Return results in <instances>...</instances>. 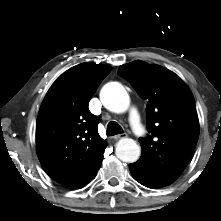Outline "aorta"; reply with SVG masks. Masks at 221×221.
<instances>
[{"mask_svg":"<svg viewBox=\"0 0 221 221\" xmlns=\"http://www.w3.org/2000/svg\"><path fill=\"white\" fill-rule=\"evenodd\" d=\"M100 100L106 109L114 113H123L130 105L126 89L118 82L104 85L100 91ZM140 155L141 149L133 139L123 138L116 145V156L123 162L134 163Z\"/></svg>","mask_w":221,"mask_h":221,"instance_id":"762f6f07","label":"aorta"}]
</instances>
